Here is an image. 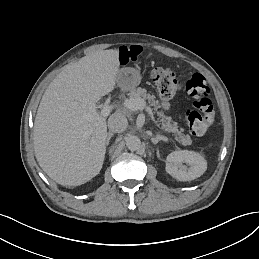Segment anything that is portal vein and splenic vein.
I'll return each instance as SVG.
<instances>
[{
	"label": "portal vein and splenic vein",
	"instance_id": "portal-vein-and-splenic-vein-1",
	"mask_svg": "<svg viewBox=\"0 0 259 259\" xmlns=\"http://www.w3.org/2000/svg\"><path fill=\"white\" fill-rule=\"evenodd\" d=\"M119 106L126 108L128 110L136 111L143 110L145 107V101L142 99L129 98L125 99L119 103H100L97 105V108L101 109L102 116H108L113 110L117 109Z\"/></svg>",
	"mask_w": 259,
	"mask_h": 259
}]
</instances>
